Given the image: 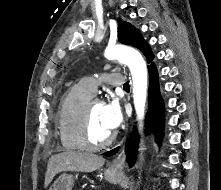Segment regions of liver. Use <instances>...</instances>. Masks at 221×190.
I'll use <instances>...</instances> for the list:
<instances>
[{
    "label": "liver",
    "instance_id": "obj_1",
    "mask_svg": "<svg viewBox=\"0 0 221 190\" xmlns=\"http://www.w3.org/2000/svg\"><path fill=\"white\" fill-rule=\"evenodd\" d=\"M105 159L93 153L64 151L50 157L47 164L44 187H48L60 172H93L104 165Z\"/></svg>",
    "mask_w": 221,
    "mask_h": 190
}]
</instances>
